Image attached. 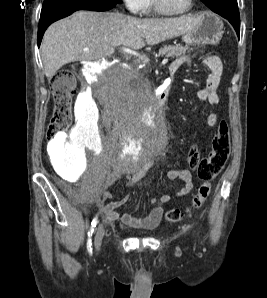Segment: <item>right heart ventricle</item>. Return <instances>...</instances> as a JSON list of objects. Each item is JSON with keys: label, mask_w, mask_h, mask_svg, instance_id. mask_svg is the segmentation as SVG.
<instances>
[{"label": "right heart ventricle", "mask_w": 267, "mask_h": 298, "mask_svg": "<svg viewBox=\"0 0 267 298\" xmlns=\"http://www.w3.org/2000/svg\"><path fill=\"white\" fill-rule=\"evenodd\" d=\"M152 10V3H151V0H147V3H146V7H145V11L147 13H150Z\"/></svg>", "instance_id": "right-heart-ventricle-1"}]
</instances>
